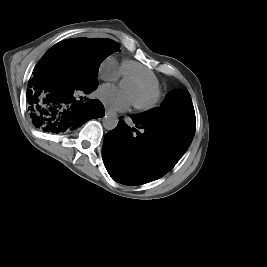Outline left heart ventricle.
<instances>
[{"instance_id":"left-heart-ventricle-1","label":"left heart ventricle","mask_w":267,"mask_h":267,"mask_svg":"<svg viewBox=\"0 0 267 267\" xmlns=\"http://www.w3.org/2000/svg\"><path fill=\"white\" fill-rule=\"evenodd\" d=\"M126 90L131 94L134 101H144L148 97V89L133 82L126 84Z\"/></svg>"}]
</instances>
